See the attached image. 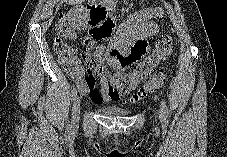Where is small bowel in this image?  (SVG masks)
Returning <instances> with one entry per match:
<instances>
[{"label":"small bowel","mask_w":227,"mask_h":157,"mask_svg":"<svg viewBox=\"0 0 227 157\" xmlns=\"http://www.w3.org/2000/svg\"><path fill=\"white\" fill-rule=\"evenodd\" d=\"M164 16L161 7H151L132 13L112 36H106L105 45H98L94 52V61L112 68L116 73H124L130 65L124 62H140L143 54H148V39L159 32L158 20ZM102 39V38H101ZM74 77L79 92L89 96L94 104L117 101L121 93L117 92L109 83L106 76L100 77V88L95 82H89L87 71L78 63L74 68ZM131 89L135 88L143 77L133 72Z\"/></svg>","instance_id":"c3829d8e"}]
</instances>
